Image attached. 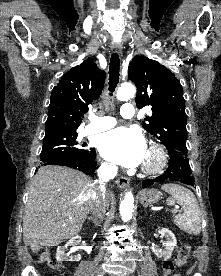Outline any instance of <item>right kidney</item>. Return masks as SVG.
Returning <instances> with one entry per match:
<instances>
[{
    "instance_id": "right-kidney-1",
    "label": "right kidney",
    "mask_w": 221,
    "mask_h": 276,
    "mask_svg": "<svg viewBox=\"0 0 221 276\" xmlns=\"http://www.w3.org/2000/svg\"><path fill=\"white\" fill-rule=\"evenodd\" d=\"M81 242V237L80 236H75L72 239H70L64 246H58L57 248V253H56V259L57 261H80L81 260V255H75L68 257V255L65 253V249L69 246H77Z\"/></svg>"
}]
</instances>
